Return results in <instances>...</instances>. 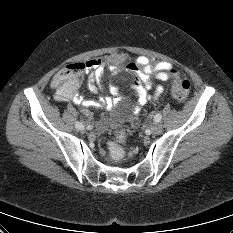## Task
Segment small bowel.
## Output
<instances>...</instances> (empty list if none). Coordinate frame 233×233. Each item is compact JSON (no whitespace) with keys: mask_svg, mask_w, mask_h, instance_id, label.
Masks as SVG:
<instances>
[{"mask_svg":"<svg viewBox=\"0 0 233 233\" xmlns=\"http://www.w3.org/2000/svg\"><path fill=\"white\" fill-rule=\"evenodd\" d=\"M126 58L123 54H111L104 59H91L86 61V71L89 73L87 88L93 94H98L102 90V85L97 80V74L103 69H108L112 76H116ZM173 68L170 62L161 61L158 63H152L146 56H140L135 62L129 63L126 66V70L138 75L141 83L135 87L136 106L135 110H138L140 106L146 104L148 101L157 98L163 92V86L158 84L155 86L153 94L150 91L153 89L152 77L160 82L167 81L170 77L169 71ZM51 86L56 89V100L59 102H73L83 106V113L86 116L91 114V107H107L110 108L118 99H112L109 97L94 101L86 99L77 91L71 94H64L58 88L55 78L51 81Z\"/></svg>","mask_w":233,"mask_h":233,"instance_id":"c3829d8e","label":"small bowel"}]
</instances>
